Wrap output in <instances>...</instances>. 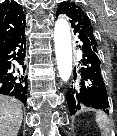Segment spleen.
I'll use <instances>...</instances> for the list:
<instances>
[{
	"instance_id": "spleen-1",
	"label": "spleen",
	"mask_w": 117,
	"mask_h": 136,
	"mask_svg": "<svg viewBox=\"0 0 117 136\" xmlns=\"http://www.w3.org/2000/svg\"><path fill=\"white\" fill-rule=\"evenodd\" d=\"M96 123L98 124L99 128L103 131L104 134L108 133L109 120H108V117L104 113L99 112L96 115Z\"/></svg>"
}]
</instances>
